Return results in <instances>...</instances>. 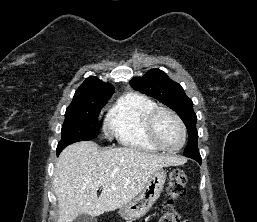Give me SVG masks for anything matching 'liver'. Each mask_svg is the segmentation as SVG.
<instances>
[{
	"mask_svg": "<svg viewBox=\"0 0 257 222\" xmlns=\"http://www.w3.org/2000/svg\"><path fill=\"white\" fill-rule=\"evenodd\" d=\"M185 161L131 147L101 150L92 141L69 145L59 155L54 170L58 222H72L80 214L99 216L121 208L143 191L153 173Z\"/></svg>",
	"mask_w": 257,
	"mask_h": 222,
	"instance_id": "1",
	"label": "liver"
}]
</instances>
